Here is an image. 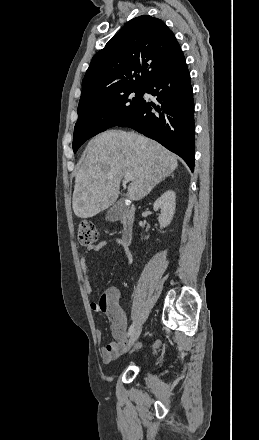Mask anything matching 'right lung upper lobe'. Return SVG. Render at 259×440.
Wrapping results in <instances>:
<instances>
[{"instance_id": "1", "label": "right lung upper lobe", "mask_w": 259, "mask_h": 440, "mask_svg": "<svg viewBox=\"0 0 259 440\" xmlns=\"http://www.w3.org/2000/svg\"><path fill=\"white\" fill-rule=\"evenodd\" d=\"M182 54L162 20L148 15L130 20L92 58L82 81L78 109L122 90L147 88Z\"/></svg>"}]
</instances>
